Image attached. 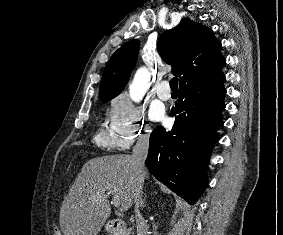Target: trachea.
I'll use <instances>...</instances> for the list:
<instances>
[{
    "label": "trachea",
    "mask_w": 283,
    "mask_h": 235,
    "mask_svg": "<svg viewBox=\"0 0 283 235\" xmlns=\"http://www.w3.org/2000/svg\"><path fill=\"white\" fill-rule=\"evenodd\" d=\"M170 88L172 90H178V78L174 77L170 80Z\"/></svg>",
    "instance_id": "3493384b"
}]
</instances>
